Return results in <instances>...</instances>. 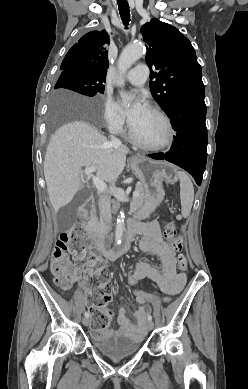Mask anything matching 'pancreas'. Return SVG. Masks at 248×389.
I'll list each match as a JSON object with an SVG mask.
<instances>
[{"label":"pancreas","mask_w":248,"mask_h":389,"mask_svg":"<svg viewBox=\"0 0 248 389\" xmlns=\"http://www.w3.org/2000/svg\"><path fill=\"white\" fill-rule=\"evenodd\" d=\"M136 191L138 192V196H133V201L131 203V209L134 211L138 210L143 205L145 187L142 184H137ZM95 230L100 236H104L106 234V225L101 217L95 227Z\"/></svg>","instance_id":"1"}]
</instances>
